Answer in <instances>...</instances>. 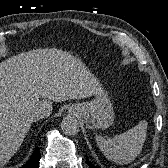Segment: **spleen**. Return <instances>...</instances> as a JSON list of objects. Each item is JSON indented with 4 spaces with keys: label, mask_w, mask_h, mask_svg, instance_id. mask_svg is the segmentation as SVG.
Masks as SVG:
<instances>
[{
    "label": "spleen",
    "mask_w": 168,
    "mask_h": 168,
    "mask_svg": "<svg viewBox=\"0 0 168 168\" xmlns=\"http://www.w3.org/2000/svg\"><path fill=\"white\" fill-rule=\"evenodd\" d=\"M147 126V122L143 120L113 138L97 135V145L107 159L117 164H128L140 154L146 139Z\"/></svg>",
    "instance_id": "spleen-1"
}]
</instances>
